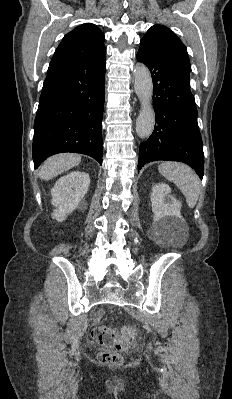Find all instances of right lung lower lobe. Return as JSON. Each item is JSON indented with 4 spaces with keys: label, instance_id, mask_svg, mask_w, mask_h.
<instances>
[{
    "label": "right lung lower lobe",
    "instance_id": "right-lung-lower-lobe-1",
    "mask_svg": "<svg viewBox=\"0 0 232 399\" xmlns=\"http://www.w3.org/2000/svg\"><path fill=\"white\" fill-rule=\"evenodd\" d=\"M105 55L51 61L34 123L35 168L62 152L82 153L102 164Z\"/></svg>",
    "mask_w": 232,
    "mask_h": 399
}]
</instances>
